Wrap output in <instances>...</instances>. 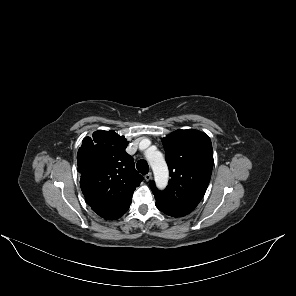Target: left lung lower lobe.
<instances>
[{
  "mask_svg": "<svg viewBox=\"0 0 296 296\" xmlns=\"http://www.w3.org/2000/svg\"><path fill=\"white\" fill-rule=\"evenodd\" d=\"M156 206H157V208L159 210L163 211L165 214L170 215V216H173V217H181V216H185L188 213H190V212L167 210V209H164V208L159 207L157 204H156Z\"/></svg>",
  "mask_w": 296,
  "mask_h": 296,
  "instance_id": "obj_1",
  "label": "left lung lower lobe"
}]
</instances>
